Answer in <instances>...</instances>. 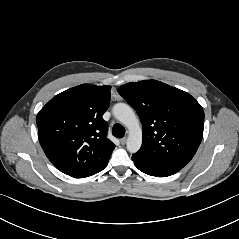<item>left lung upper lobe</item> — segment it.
Masks as SVG:
<instances>
[{
    "mask_svg": "<svg viewBox=\"0 0 239 239\" xmlns=\"http://www.w3.org/2000/svg\"><path fill=\"white\" fill-rule=\"evenodd\" d=\"M118 93L136 110L143 125L142 146L134 155L169 171L181 170L203 137L200 104L187 92L156 80L125 84Z\"/></svg>",
    "mask_w": 239,
    "mask_h": 239,
    "instance_id": "5c2ea615",
    "label": "left lung upper lobe"
}]
</instances>
